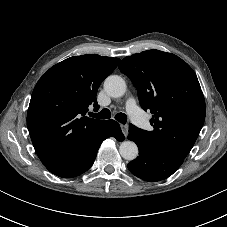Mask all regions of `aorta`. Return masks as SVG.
<instances>
[{"instance_id":"obj_1","label":"aorta","mask_w":227,"mask_h":227,"mask_svg":"<svg viewBox=\"0 0 227 227\" xmlns=\"http://www.w3.org/2000/svg\"><path fill=\"white\" fill-rule=\"evenodd\" d=\"M104 88L111 97H122L126 92V82L118 75H110L104 81ZM119 152L124 159L134 160L138 156V147L133 141H123Z\"/></svg>"}]
</instances>
